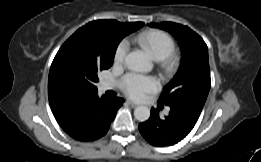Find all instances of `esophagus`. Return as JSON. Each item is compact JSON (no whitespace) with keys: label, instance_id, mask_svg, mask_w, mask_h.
<instances>
[{"label":"esophagus","instance_id":"34e87169","mask_svg":"<svg viewBox=\"0 0 261 162\" xmlns=\"http://www.w3.org/2000/svg\"><path fill=\"white\" fill-rule=\"evenodd\" d=\"M132 108H135L137 106V104L133 103L132 101L130 100H127L126 101Z\"/></svg>","mask_w":261,"mask_h":162}]
</instances>
